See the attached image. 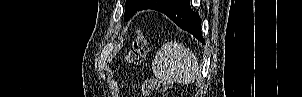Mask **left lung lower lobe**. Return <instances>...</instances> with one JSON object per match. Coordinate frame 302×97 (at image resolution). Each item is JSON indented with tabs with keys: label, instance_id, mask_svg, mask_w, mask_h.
Masks as SVG:
<instances>
[{
	"label": "left lung lower lobe",
	"instance_id": "1",
	"mask_svg": "<svg viewBox=\"0 0 302 97\" xmlns=\"http://www.w3.org/2000/svg\"><path fill=\"white\" fill-rule=\"evenodd\" d=\"M147 4L149 5L141 10L153 9L166 14L180 28L205 43L201 34L199 15L191 10L190 0H148Z\"/></svg>",
	"mask_w": 302,
	"mask_h": 97
}]
</instances>
